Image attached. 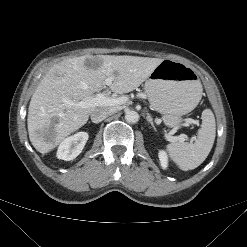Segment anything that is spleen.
Segmentation results:
<instances>
[{
    "instance_id": "spleen-1",
    "label": "spleen",
    "mask_w": 247,
    "mask_h": 247,
    "mask_svg": "<svg viewBox=\"0 0 247 247\" xmlns=\"http://www.w3.org/2000/svg\"><path fill=\"white\" fill-rule=\"evenodd\" d=\"M216 135V123L213 112L205 109L202 112V124L194 143H170L166 149L171 159L181 170L187 171L201 165L210 153Z\"/></svg>"
}]
</instances>
